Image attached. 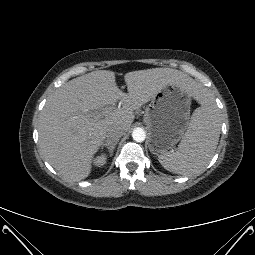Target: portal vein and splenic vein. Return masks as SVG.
<instances>
[{
  "mask_svg": "<svg viewBox=\"0 0 255 255\" xmlns=\"http://www.w3.org/2000/svg\"><path fill=\"white\" fill-rule=\"evenodd\" d=\"M112 107H109L106 111H104L106 114H109V113H111V111H112Z\"/></svg>",
  "mask_w": 255,
  "mask_h": 255,
  "instance_id": "18ae733b",
  "label": "portal vein and splenic vein"
}]
</instances>
